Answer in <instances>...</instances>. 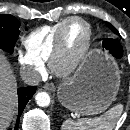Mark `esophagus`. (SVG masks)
Segmentation results:
<instances>
[{
    "label": "esophagus",
    "mask_w": 130,
    "mask_h": 130,
    "mask_svg": "<svg viewBox=\"0 0 130 130\" xmlns=\"http://www.w3.org/2000/svg\"><path fill=\"white\" fill-rule=\"evenodd\" d=\"M43 88L47 91H54L55 85L53 83H47L43 86Z\"/></svg>",
    "instance_id": "esophagus-1"
}]
</instances>
